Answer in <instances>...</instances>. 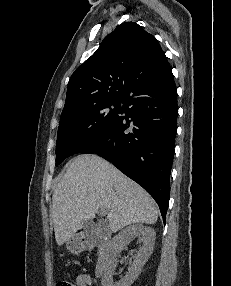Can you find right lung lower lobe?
Returning a JSON list of instances; mask_svg holds the SVG:
<instances>
[{"label":"right lung lower lobe","instance_id":"right-lung-lower-lobe-1","mask_svg":"<svg viewBox=\"0 0 231 286\" xmlns=\"http://www.w3.org/2000/svg\"><path fill=\"white\" fill-rule=\"evenodd\" d=\"M123 101L124 115L81 153L111 161L141 185L155 199L165 221L178 115L172 71L137 84Z\"/></svg>","mask_w":231,"mask_h":286}]
</instances>
